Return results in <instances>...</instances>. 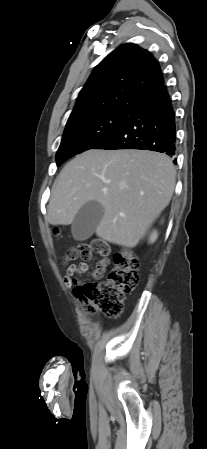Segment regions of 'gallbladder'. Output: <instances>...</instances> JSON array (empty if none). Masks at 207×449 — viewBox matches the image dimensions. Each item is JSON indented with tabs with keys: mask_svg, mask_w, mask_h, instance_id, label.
Here are the masks:
<instances>
[{
	"mask_svg": "<svg viewBox=\"0 0 207 449\" xmlns=\"http://www.w3.org/2000/svg\"><path fill=\"white\" fill-rule=\"evenodd\" d=\"M104 215L103 206L96 201L85 203L76 214L71 231L76 240L84 241L90 238Z\"/></svg>",
	"mask_w": 207,
	"mask_h": 449,
	"instance_id": "1",
	"label": "gallbladder"
}]
</instances>
